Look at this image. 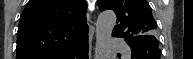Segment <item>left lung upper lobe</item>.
<instances>
[{
  "instance_id": "left-lung-upper-lobe-1",
  "label": "left lung upper lobe",
  "mask_w": 193,
  "mask_h": 59,
  "mask_svg": "<svg viewBox=\"0 0 193 59\" xmlns=\"http://www.w3.org/2000/svg\"><path fill=\"white\" fill-rule=\"evenodd\" d=\"M100 11L111 9L117 16V25L113 35L140 40L156 39V22L152 9L146 0H98Z\"/></svg>"
}]
</instances>
